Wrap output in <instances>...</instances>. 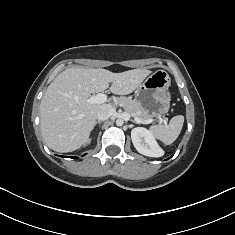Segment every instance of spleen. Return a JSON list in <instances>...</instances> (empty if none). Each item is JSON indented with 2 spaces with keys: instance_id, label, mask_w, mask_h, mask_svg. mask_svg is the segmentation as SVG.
Returning a JSON list of instances; mask_svg holds the SVG:
<instances>
[{
  "instance_id": "spleen-1",
  "label": "spleen",
  "mask_w": 235,
  "mask_h": 235,
  "mask_svg": "<svg viewBox=\"0 0 235 235\" xmlns=\"http://www.w3.org/2000/svg\"><path fill=\"white\" fill-rule=\"evenodd\" d=\"M184 123V116H174L168 125H156L151 127L154 136L164 144H172L179 136Z\"/></svg>"
}]
</instances>
